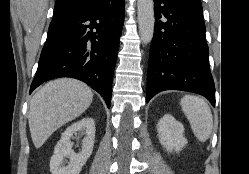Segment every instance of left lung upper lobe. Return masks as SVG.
<instances>
[{"label": "left lung upper lobe", "mask_w": 249, "mask_h": 174, "mask_svg": "<svg viewBox=\"0 0 249 174\" xmlns=\"http://www.w3.org/2000/svg\"><path fill=\"white\" fill-rule=\"evenodd\" d=\"M189 11L203 16L202 5L200 0H176Z\"/></svg>", "instance_id": "left-lung-upper-lobe-1"}]
</instances>
